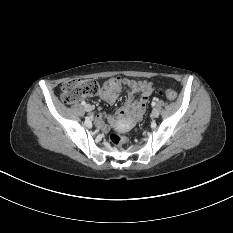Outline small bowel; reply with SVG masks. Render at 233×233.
<instances>
[{
    "mask_svg": "<svg viewBox=\"0 0 233 233\" xmlns=\"http://www.w3.org/2000/svg\"><path fill=\"white\" fill-rule=\"evenodd\" d=\"M127 89L129 99L125 105L117 111V118H126L129 121L140 120L146 110L149 96L153 92V85L147 81H137L125 77H113L105 81L100 91V97L109 104H114L120 93ZM139 94L138 98L135 95ZM105 113L96 116V123L102 130H107Z\"/></svg>",
    "mask_w": 233,
    "mask_h": 233,
    "instance_id": "small-bowel-1",
    "label": "small bowel"
}]
</instances>
